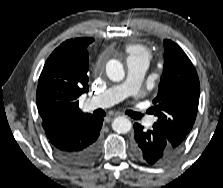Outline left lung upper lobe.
<instances>
[{"instance_id": "1", "label": "left lung upper lobe", "mask_w": 223, "mask_h": 188, "mask_svg": "<svg viewBox=\"0 0 223 188\" xmlns=\"http://www.w3.org/2000/svg\"><path fill=\"white\" fill-rule=\"evenodd\" d=\"M164 49L163 74L151 111L158 117L154 126L179 150L196 119L200 84L192 62L176 43L166 39Z\"/></svg>"}]
</instances>
